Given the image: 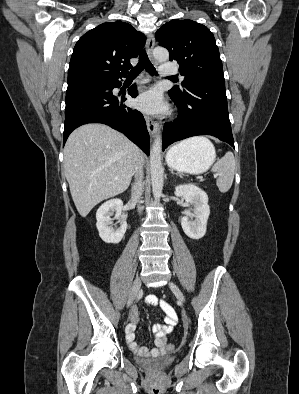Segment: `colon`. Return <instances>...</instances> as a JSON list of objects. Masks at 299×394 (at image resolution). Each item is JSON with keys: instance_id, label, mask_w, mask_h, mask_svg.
<instances>
[{"instance_id": "obj_1", "label": "colon", "mask_w": 299, "mask_h": 394, "mask_svg": "<svg viewBox=\"0 0 299 394\" xmlns=\"http://www.w3.org/2000/svg\"><path fill=\"white\" fill-rule=\"evenodd\" d=\"M168 348H169V349H173V346H172V345H169Z\"/></svg>"}]
</instances>
